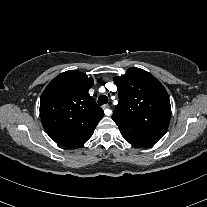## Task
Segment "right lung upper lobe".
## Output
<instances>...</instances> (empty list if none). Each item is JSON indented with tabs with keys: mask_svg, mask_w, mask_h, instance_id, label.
I'll list each match as a JSON object with an SVG mask.
<instances>
[{
	"mask_svg": "<svg viewBox=\"0 0 207 207\" xmlns=\"http://www.w3.org/2000/svg\"><path fill=\"white\" fill-rule=\"evenodd\" d=\"M93 79L78 70L55 77L40 100V117L48 135L58 144L75 148L85 143L103 117V110L89 95Z\"/></svg>",
	"mask_w": 207,
	"mask_h": 207,
	"instance_id": "1",
	"label": "right lung upper lobe"
}]
</instances>
